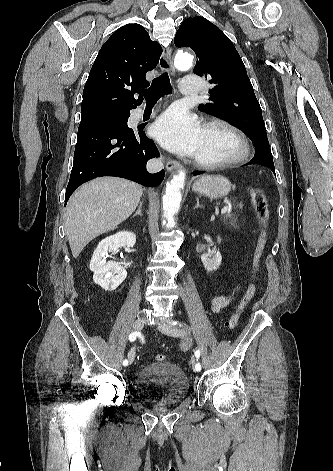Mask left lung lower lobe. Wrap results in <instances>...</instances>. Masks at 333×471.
<instances>
[{"instance_id":"left-lung-lower-lobe-1","label":"left lung lower lobe","mask_w":333,"mask_h":471,"mask_svg":"<svg viewBox=\"0 0 333 471\" xmlns=\"http://www.w3.org/2000/svg\"><path fill=\"white\" fill-rule=\"evenodd\" d=\"M249 164H261V165H264L268 168H270L274 174H275V168H274V163H273V159H272V156L271 155H260V156H254V158L247 164L245 165H249ZM203 173L202 171H196L194 172L193 174L194 175H198V174H201Z\"/></svg>"}]
</instances>
